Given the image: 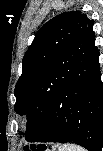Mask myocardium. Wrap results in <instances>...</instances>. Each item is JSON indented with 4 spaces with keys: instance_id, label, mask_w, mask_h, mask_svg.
<instances>
[{
    "instance_id": "obj_1",
    "label": "myocardium",
    "mask_w": 103,
    "mask_h": 151,
    "mask_svg": "<svg viewBox=\"0 0 103 151\" xmlns=\"http://www.w3.org/2000/svg\"><path fill=\"white\" fill-rule=\"evenodd\" d=\"M16 119L20 126L25 127L29 122V116L26 113L17 114Z\"/></svg>"
}]
</instances>
